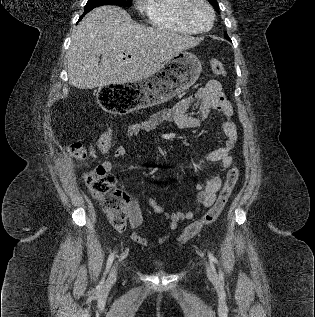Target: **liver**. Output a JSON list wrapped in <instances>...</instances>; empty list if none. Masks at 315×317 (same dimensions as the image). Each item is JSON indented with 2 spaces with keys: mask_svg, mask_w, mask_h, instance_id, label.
Instances as JSON below:
<instances>
[{
  "mask_svg": "<svg viewBox=\"0 0 315 317\" xmlns=\"http://www.w3.org/2000/svg\"><path fill=\"white\" fill-rule=\"evenodd\" d=\"M199 43L195 37L134 23L119 7H98L81 20L72 36L69 84L92 89L140 81L156 74L168 59Z\"/></svg>",
  "mask_w": 315,
  "mask_h": 317,
  "instance_id": "1",
  "label": "liver"
}]
</instances>
